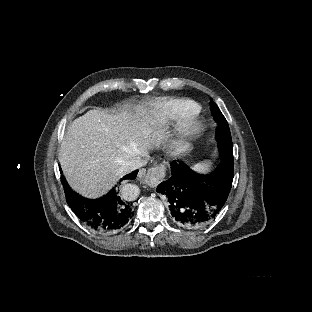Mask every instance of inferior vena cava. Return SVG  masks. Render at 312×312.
<instances>
[{"label": "inferior vena cava", "mask_w": 312, "mask_h": 312, "mask_svg": "<svg viewBox=\"0 0 312 312\" xmlns=\"http://www.w3.org/2000/svg\"><path fill=\"white\" fill-rule=\"evenodd\" d=\"M146 165V161L142 160L141 157H135L131 161L126 163V172H132L136 169L141 168L142 166Z\"/></svg>", "instance_id": "obj_1"}]
</instances>
